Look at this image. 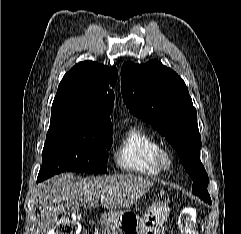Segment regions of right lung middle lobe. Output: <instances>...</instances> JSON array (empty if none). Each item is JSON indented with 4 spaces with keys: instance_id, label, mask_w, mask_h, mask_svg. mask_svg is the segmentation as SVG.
I'll return each mask as SVG.
<instances>
[{
    "instance_id": "right-lung-middle-lobe-1",
    "label": "right lung middle lobe",
    "mask_w": 241,
    "mask_h": 234,
    "mask_svg": "<svg viewBox=\"0 0 241 234\" xmlns=\"http://www.w3.org/2000/svg\"><path fill=\"white\" fill-rule=\"evenodd\" d=\"M38 180L63 171L106 173L112 126L87 125L68 112H51Z\"/></svg>"
}]
</instances>
